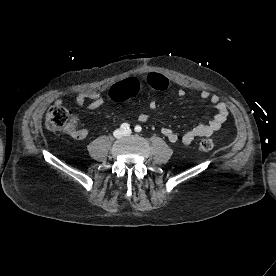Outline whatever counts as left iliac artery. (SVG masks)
Wrapping results in <instances>:
<instances>
[{"label":"left iliac artery","instance_id":"obj_1","mask_svg":"<svg viewBox=\"0 0 276 276\" xmlns=\"http://www.w3.org/2000/svg\"><path fill=\"white\" fill-rule=\"evenodd\" d=\"M134 130H135L136 132H141L142 128H141L140 125H136L135 128H134Z\"/></svg>","mask_w":276,"mask_h":276}]
</instances>
